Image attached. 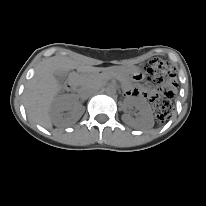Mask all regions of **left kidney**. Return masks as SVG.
<instances>
[{
	"label": "left kidney",
	"instance_id": "5707ae66",
	"mask_svg": "<svg viewBox=\"0 0 206 206\" xmlns=\"http://www.w3.org/2000/svg\"><path fill=\"white\" fill-rule=\"evenodd\" d=\"M129 107H135L139 111L137 118L125 114L123 119L126 123L138 128H150L153 126V115L149 103L143 98H132L127 102Z\"/></svg>",
	"mask_w": 206,
	"mask_h": 206
}]
</instances>
